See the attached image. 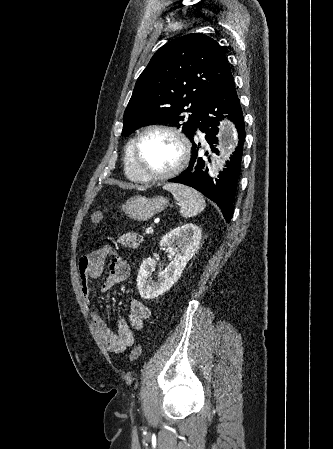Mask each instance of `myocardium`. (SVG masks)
Instances as JSON below:
<instances>
[{"label": "myocardium", "mask_w": 333, "mask_h": 449, "mask_svg": "<svg viewBox=\"0 0 333 449\" xmlns=\"http://www.w3.org/2000/svg\"><path fill=\"white\" fill-rule=\"evenodd\" d=\"M154 131H160L164 132L170 136H172L179 144L180 146V158L177 162V164L170 170L160 173V174H148L143 171L140 165V145L143 140V138ZM190 153H191V146L186 138V136L179 131L178 129L165 125V124H152L146 126L134 139L133 143V163L136 172L138 173L139 177L142 181L145 182H157V181H163L168 180L170 178L175 177L180 172H182L186 166L188 165V162L190 160Z\"/></svg>", "instance_id": "f54148a6"}]
</instances>
